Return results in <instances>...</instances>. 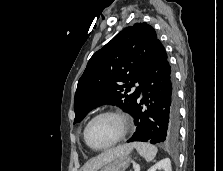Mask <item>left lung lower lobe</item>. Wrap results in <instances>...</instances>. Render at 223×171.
<instances>
[{
  "instance_id": "left-lung-lower-lobe-1",
  "label": "left lung lower lobe",
  "mask_w": 223,
  "mask_h": 171,
  "mask_svg": "<svg viewBox=\"0 0 223 171\" xmlns=\"http://www.w3.org/2000/svg\"><path fill=\"white\" fill-rule=\"evenodd\" d=\"M140 87L131 114L137 125L136 132L128 142L175 143L179 135V106L174 74L161 42L156 45Z\"/></svg>"
}]
</instances>
